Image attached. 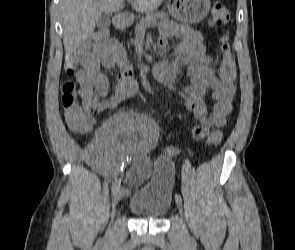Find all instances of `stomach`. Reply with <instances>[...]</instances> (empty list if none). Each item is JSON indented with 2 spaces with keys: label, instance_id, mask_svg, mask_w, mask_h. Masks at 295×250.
Returning <instances> with one entry per match:
<instances>
[{
  "label": "stomach",
  "instance_id": "1",
  "mask_svg": "<svg viewBox=\"0 0 295 250\" xmlns=\"http://www.w3.org/2000/svg\"><path fill=\"white\" fill-rule=\"evenodd\" d=\"M210 5V0H169L168 10L179 21L196 23L206 17Z\"/></svg>",
  "mask_w": 295,
  "mask_h": 250
}]
</instances>
